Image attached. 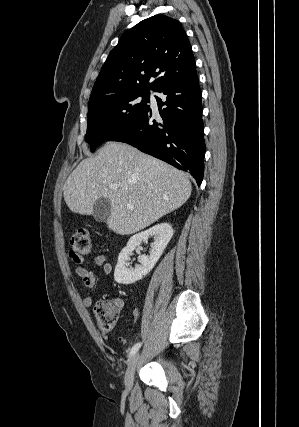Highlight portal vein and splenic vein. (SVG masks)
I'll return each mask as SVG.
<instances>
[{
  "label": "portal vein and splenic vein",
  "instance_id": "portal-vein-and-splenic-vein-1",
  "mask_svg": "<svg viewBox=\"0 0 299 427\" xmlns=\"http://www.w3.org/2000/svg\"><path fill=\"white\" fill-rule=\"evenodd\" d=\"M111 187H115L114 185H112ZM127 207L130 209H133V206L131 204H127Z\"/></svg>",
  "mask_w": 299,
  "mask_h": 427
}]
</instances>
